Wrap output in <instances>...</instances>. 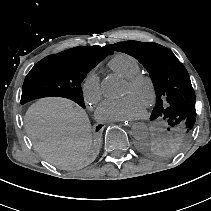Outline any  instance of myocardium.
Wrapping results in <instances>:
<instances>
[{
  "label": "myocardium",
  "instance_id": "obj_1",
  "mask_svg": "<svg viewBox=\"0 0 211 211\" xmlns=\"http://www.w3.org/2000/svg\"><path fill=\"white\" fill-rule=\"evenodd\" d=\"M126 83H128L133 88H138L145 85L148 89V101L145 106L151 108L155 105L157 100V89L154 80L145 74L137 73L134 76L127 78Z\"/></svg>",
  "mask_w": 211,
  "mask_h": 211
}]
</instances>
